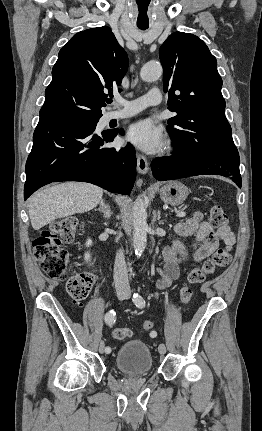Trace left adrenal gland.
Returning <instances> with one entry per match:
<instances>
[{"instance_id": "1", "label": "left adrenal gland", "mask_w": 262, "mask_h": 431, "mask_svg": "<svg viewBox=\"0 0 262 431\" xmlns=\"http://www.w3.org/2000/svg\"><path fill=\"white\" fill-rule=\"evenodd\" d=\"M157 220L159 221V223H163L162 221H160V213H159V211L157 212Z\"/></svg>"}]
</instances>
